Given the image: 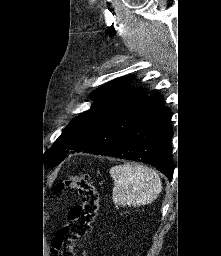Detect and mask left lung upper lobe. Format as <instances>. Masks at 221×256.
I'll use <instances>...</instances> for the list:
<instances>
[{
	"mask_svg": "<svg viewBox=\"0 0 221 256\" xmlns=\"http://www.w3.org/2000/svg\"><path fill=\"white\" fill-rule=\"evenodd\" d=\"M133 78L120 77L95 90L90 97L97 101L88 111L70 122L67 129L46 151L44 164L48 167L59 164L70 152L110 121L129 113L149 97L141 89L128 88Z\"/></svg>",
	"mask_w": 221,
	"mask_h": 256,
	"instance_id": "left-lung-upper-lobe-1",
	"label": "left lung upper lobe"
}]
</instances>
